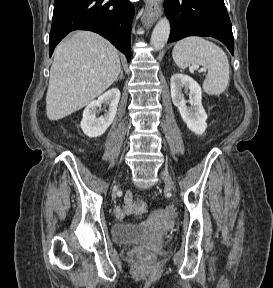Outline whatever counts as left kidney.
Instances as JSON below:
<instances>
[{
    "instance_id": "left-kidney-1",
    "label": "left kidney",
    "mask_w": 273,
    "mask_h": 288,
    "mask_svg": "<svg viewBox=\"0 0 273 288\" xmlns=\"http://www.w3.org/2000/svg\"><path fill=\"white\" fill-rule=\"evenodd\" d=\"M171 98L178 108L183 121L189 130L202 135L207 128V114L202 106V90L200 85L190 76L180 73L174 74L170 79ZM189 91L190 107H187L182 89Z\"/></svg>"
}]
</instances>
